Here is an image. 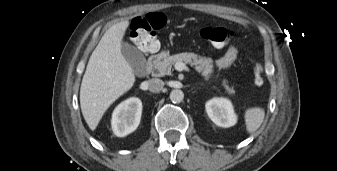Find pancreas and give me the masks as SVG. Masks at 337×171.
<instances>
[{
    "instance_id": "pancreas-1",
    "label": "pancreas",
    "mask_w": 337,
    "mask_h": 171,
    "mask_svg": "<svg viewBox=\"0 0 337 171\" xmlns=\"http://www.w3.org/2000/svg\"><path fill=\"white\" fill-rule=\"evenodd\" d=\"M177 62L191 64L195 67L197 72L201 73L205 80H208L211 73H213V64L211 59L201 57L194 53L185 52L172 56H162L154 65L155 74L157 76L171 75L172 66ZM222 85L228 94L234 93L233 87L227 85L226 80H223Z\"/></svg>"
}]
</instances>
